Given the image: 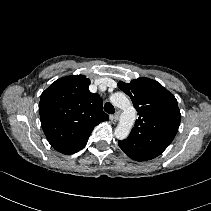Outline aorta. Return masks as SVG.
Segmentation results:
<instances>
[{
  "mask_svg": "<svg viewBox=\"0 0 211 211\" xmlns=\"http://www.w3.org/2000/svg\"><path fill=\"white\" fill-rule=\"evenodd\" d=\"M110 100L113 105L123 110L119 123L114 130V135L117 139L124 140L129 136L135 123L136 110L129 97L123 92L111 95Z\"/></svg>",
  "mask_w": 211,
  "mask_h": 211,
  "instance_id": "aorta-1",
  "label": "aorta"
}]
</instances>
